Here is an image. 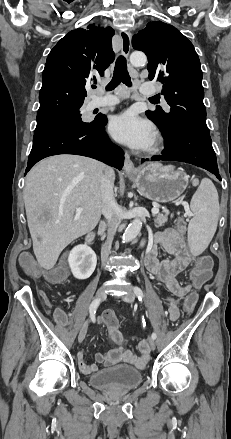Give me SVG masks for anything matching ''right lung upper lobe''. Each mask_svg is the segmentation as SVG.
Segmentation results:
<instances>
[{
	"label": "right lung upper lobe",
	"instance_id": "1",
	"mask_svg": "<svg viewBox=\"0 0 231 439\" xmlns=\"http://www.w3.org/2000/svg\"><path fill=\"white\" fill-rule=\"evenodd\" d=\"M112 28L90 24L65 35L50 51L42 74L37 119L78 109L87 96L85 85L114 61Z\"/></svg>",
	"mask_w": 231,
	"mask_h": 439
}]
</instances>
